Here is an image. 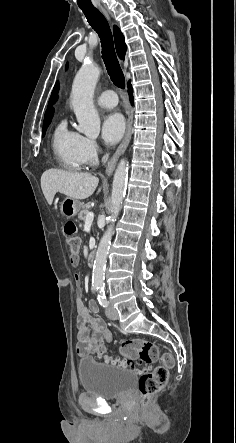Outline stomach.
Here are the masks:
<instances>
[{
    "label": "stomach",
    "mask_w": 236,
    "mask_h": 443,
    "mask_svg": "<svg viewBox=\"0 0 236 443\" xmlns=\"http://www.w3.org/2000/svg\"><path fill=\"white\" fill-rule=\"evenodd\" d=\"M82 207V203L79 200L67 197L63 200L60 206L62 215L67 218H72L78 214Z\"/></svg>",
    "instance_id": "1"
}]
</instances>
